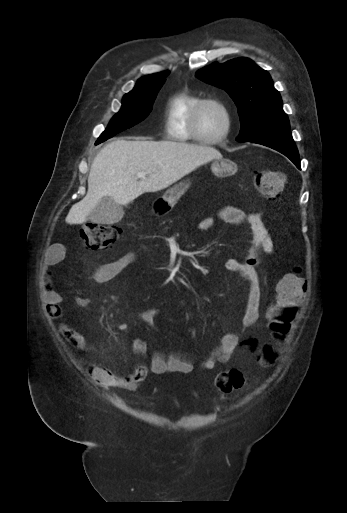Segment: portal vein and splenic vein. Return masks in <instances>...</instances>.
<instances>
[{"mask_svg":"<svg viewBox=\"0 0 347 513\" xmlns=\"http://www.w3.org/2000/svg\"><path fill=\"white\" fill-rule=\"evenodd\" d=\"M146 176H147V174H146V173H144V172H139V173H137V175H136V177H137V178H142V179H145V178H146Z\"/></svg>","mask_w":347,"mask_h":513,"instance_id":"portal-vein-and-splenic-vein-1","label":"portal vein and splenic vein"}]
</instances>
